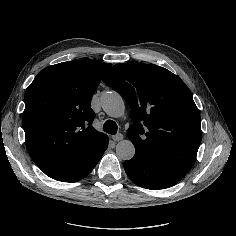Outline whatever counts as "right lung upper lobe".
Masks as SVG:
<instances>
[{"instance_id": "cb5924a9", "label": "right lung upper lobe", "mask_w": 236, "mask_h": 236, "mask_svg": "<svg viewBox=\"0 0 236 236\" xmlns=\"http://www.w3.org/2000/svg\"><path fill=\"white\" fill-rule=\"evenodd\" d=\"M111 64L73 60L43 69L25 93L22 124L28 152L49 177L60 180L108 137L92 122V96Z\"/></svg>"}]
</instances>
